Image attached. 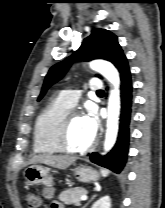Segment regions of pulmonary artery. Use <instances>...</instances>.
<instances>
[{
	"instance_id": "1",
	"label": "pulmonary artery",
	"mask_w": 165,
	"mask_h": 208,
	"mask_svg": "<svg viewBox=\"0 0 165 208\" xmlns=\"http://www.w3.org/2000/svg\"><path fill=\"white\" fill-rule=\"evenodd\" d=\"M102 81L99 78L91 79L89 82V90L91 92H98L102 90ZM81 96L80 90H64L59 96L58 100L68 107H74Z\"/></svg>"
}]
</instances>
